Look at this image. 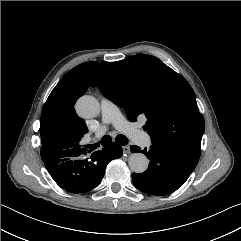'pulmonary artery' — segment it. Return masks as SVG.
<instances>
[{
  "label": "pulmonary artery",
  "mask_w": 241,
  "mask_h": 241,
  "mask_svg": "<svg viewBox=\"0 0 241 241\" xmlns=\"http://www.w3.org/2000/svg\"><path fill=\"white\" fill-rule=\"evenodd\" d=\"M102 125L98 130V134H103L108 124L129 136L134 142L140 146H149L151 144L150 136L141 131L139 128L131 124L119 111L116 105L105 97L100 100Z\"/></svg>",
  "instance_id": "e3ab8cb5"
}]
</instances>
